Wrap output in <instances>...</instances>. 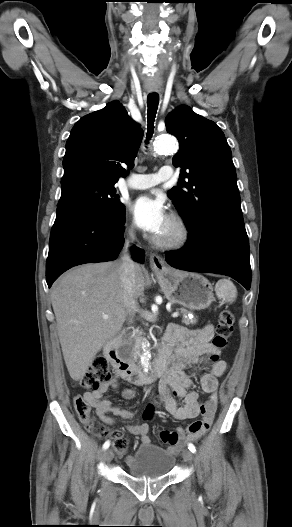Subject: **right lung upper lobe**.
<instances>
[{
  "mask_svg": "<svg viewBox=\"0 0 292 527\" xmlns=\"http://www.w3.org/2000/svg\"><path fill=\"white\" fill-rule=\"evenodd\" d=\"M143 130L113 101L81 118L71 130L63 159L61 182L83 177L115 184L133 168Z\"/></svg>",
  "mask_w": 292,
  "mask_h": 527,
  "instance_id": "obj_1",
  "label": "right lung upper lobe"
}]
</instances>
